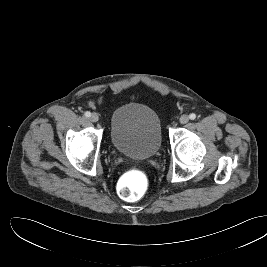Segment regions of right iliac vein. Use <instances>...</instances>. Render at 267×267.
<instances>
[{
    "mask_svg": "<svg viewBox=\"0 0 267 267\" xmlns=\"http://www.w3.org/2000/svg\"><path fill=\"white\" fill-rule=\"evenodd\" d=\"M90 120L92 122H94V123L97 122L99 120L98 114L97 113H92L91 116H90Z\"/></svg>",
    "mask_w": 267,
    "mask_h": 267,
    "instance_id": "obj_1",
    "label": "right iliac vein"
}]
</instances>
